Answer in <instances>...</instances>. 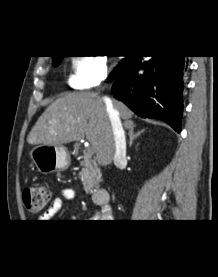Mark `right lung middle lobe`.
<instances>
[{"instance_id": "right-lung-middle-lobe-1", "label": "right lung middle lobe", "mask_w": 218, "mask_h": 277, "mask_svg": "<svg viewBox=\"0 0 218 277\" xmlns=\"http://www.w3.org/2000/svg\"><path fill=\"white\" fill-rule=\"evenodd\" d=\"M63 57H64V56H61V57H59V58H57V59H54V60H53V65H54V66L59 65L60 62L62 61ZM129 59H130V57H126V58H124V59H122V60L120 61V63L116 66L115 70H114V71L111 73V75H110V77H111L112 79L115 77V73L117 72L119 66H121L124 62L128 61Z\"/></svg>"}]
</instances>
